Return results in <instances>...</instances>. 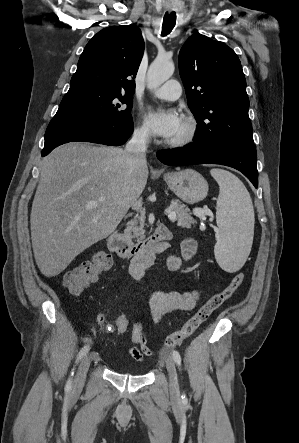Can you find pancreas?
<instances>
[{
	"instance_id": "cf45deb5",
	"label": "pancreas",
	"mask_w": 299,
	"mask_h": 443,
	"mask_svg": "<svg viewBox=\"0 0 299 443\" xmlns=\"http://www.w3.org/2000/svg\"><path fill=\"white\" fill-rule=\"evenodd\" d=\"M171 210L176 213V221L177 225L182 228H191L192 224H195L196 221L192 217L190 210L182 204L179 200H175L173 205L171 206ZM200 218H203V215H199ZM144 221L145 216L143 213L140 215H136L132 220L127 223V228L124 231V235L129 240L134 238L137 241L143 240L145 238V230H144Z\"/></svg>"
}]
</instances>
